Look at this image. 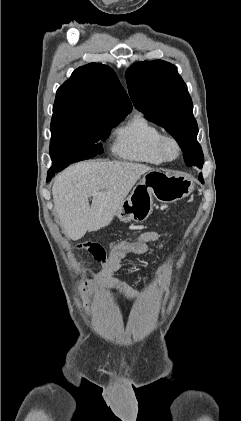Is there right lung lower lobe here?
<instances>
[{
    "mask_svg": "<svg viewBox=\"0 0 241 421\" xmlns=\"http://www.w3.org/2000/svg\"><path fill=\"white\" fill-rule=\"evenodd\" d=\"M64 169V168H63ZM62 169H50L49 171H48V176H47V181H49L53 176H54V174L56 173V172H59V171H61Z\"/></svg>",
    "mask_w": 241,
    "mask_h": 421,
    "instance_id": "1",
    "label": "right lung lower lobe"
}]
</instances>
